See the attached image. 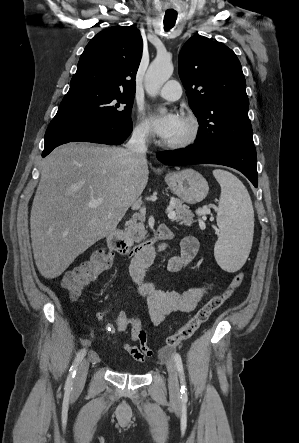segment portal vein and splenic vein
Segmentation results:
<instances>
[{
    "label": "portal vein and splenic vein",
    "instance_id": "18ae733b",
    "mask_svg": "<svg viewBox=\"0 0 299 443\" xmlns=\"http://www.w3.org/2000/svg\"><path fill=\"white\" fill-rule=\"evenodd\" d=\"M102 199H98V200H93L89 203L90 207H97L98 205H100L102 203ZM167 213H168V218L171 220H174L176 217V213L173 211V209L171 207H169L167 209Z\"/></svg>",
    "mask_w": 299,
    "mask_h": 443
}]
</instances>
